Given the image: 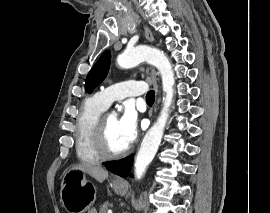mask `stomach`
Returning a JSON list of instances; mask_svg holds the SVG:
<instances>
[{"instance_id": "1", "label": "stomach", "mask_w": 270, "mask_h": 213, "mask_svg": "<svg viewBox=\"0 0 270 213\" xmlns=\"http://www.w3.org/2000/svg\"><path fill=\"white\" fill-rule=\"evenodd\" d=\"M113 190L120 195L127 191L125 183H112ZM60 199L68 213H85L94 203L96 193L87 176L70 169L63 175L60 189Z\"/></svg>"}]
</instances>
